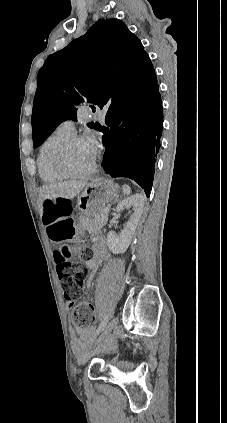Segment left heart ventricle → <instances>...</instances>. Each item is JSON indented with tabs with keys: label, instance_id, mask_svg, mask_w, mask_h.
Here are the masks:
<instances>
[{
	"label": "left heart ventricle",
	"instance_id": "b2bd125f",
	"mask_svg": "<svg viewBox=\"0 0 227 423\" xmlns=\"http://www.w3.org/2000/svg\"><path fill=\"white\" fill-rule=\"evenodd\" d=\"M67 161L72 171L80 173L93 165L95 157L87 143H77L70 148Z\"/></svg>",
	"mask_w": 227,
	"mask_h": 423
}]
</instances>
